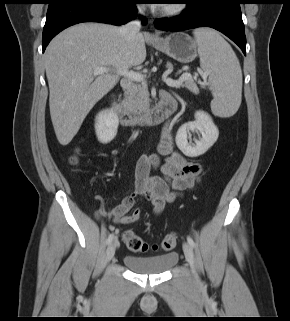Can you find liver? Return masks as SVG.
<instances>
[{
    "mask_svg": "<svg viewBox=\"0 0 290 321\" xmlns=\"http://www.w3.org/2000/svg\"><path fill=\"white\" fill-rule=\"evenodd\" d=\"M145 59L143 34L128 40L114 25L79 23L54 37L45 51V70L59 143L66 146L72 141L89 111L117 84L121 71ZM96 67H112L115 73L94 75Z\"/></svg>",
    "mask_w": 290,
    "mask_h": 321,
    "instance_id": "obj_1",
    "label": "liver"
}]
</instances>
